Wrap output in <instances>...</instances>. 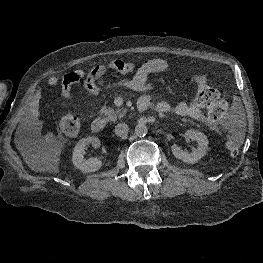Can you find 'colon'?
I'll return each mask as SVG.
<instances>
[{
    "label": "colon",
    "mask_w": 263,
    "mask_h": 263,
    "mask_svg": "<svg viewBox=\"0 0 263 263\" xmlns=\"http://www.w3.org/2000/svg\"><path fill=\"white\" fill-rule=\"evenodd\" d=\"M115 66L119 70L128 68L127 65L121 62H115ZM193 81L198 89V102L207 109L208 115L215 120L225 119L228 115V105L220 98L218 91L208 84L206 76L196 75ZM60 128L64 134L76 136L80 130V122L75 116L65 114L60 119ZM241 144V132L239 130H230L225 138L226 149L235 154L239 151Z\"/></svg>",
    "instance_id": "5ec220e1"
}]
</instances>
